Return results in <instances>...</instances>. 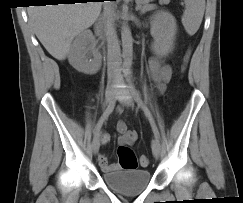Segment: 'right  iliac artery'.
Wrapping results in <instances>:
<instances>
[{"mask_svg":"<svg viewBox=\"0 0 243 203\" xmlns=\"http://www.w3.org/2000/svg\"><path fill=\"white\" fill-rule=\"evenodd\" d=\"M115 105H116V99H113L112 102L106 108V110L103 112L102 116L100 117V119L95 127V130H94V137L99 135V132H100V129H101L103 123L108 119L109 115L114 110Z\"/></svg>","mask_w":243,"mask_h":203,"instance_id":"82829eb1","label":"right iliac artery"}]
</instances>
